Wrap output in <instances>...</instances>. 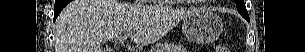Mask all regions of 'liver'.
<instances>
[{
    "instance_id": "obj_1",
    "label": "liver",
    "mask_w": 305,
    "mask_h": 52,
    "mask_svg": "<svg viewBox=\"0 0 305 52\" xmlns=\"http://www.w3.org/2000/svg\"><path fill=\"white\" fill-rule=\"evenodd\" d=\"M193 10L116 0H73L56 20L55 52H103L101 43L130 33L139 45L157 42Z\"/></svg>"
}]
</instances>
